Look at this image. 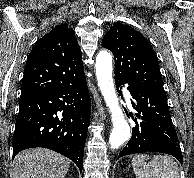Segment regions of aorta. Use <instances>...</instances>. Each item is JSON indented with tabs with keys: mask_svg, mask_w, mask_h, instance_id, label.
Returning a JSON list of instances; mask_svg holds the SVG:
<instances>
[{
	"mask_svg": "<svg viewBox=\"0 0 194 178\" xmlns=\"http://www.w3.org/2000/svg\"><path fill=\"white\" fill-rule=\"evenodd\" d=\"M95 67L98 86L111 113L113 129L109 142L112 149H118L130 138L131 132L115 92L111 54L105 50L100 51L96 57Z\"/></svg>",
	"mask_w": 194,
	"mask_h": 178,
	"instance_id": "aorta-1",
	"label": "aorta"
}]
</instances>
